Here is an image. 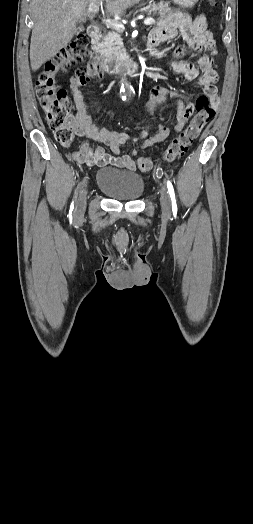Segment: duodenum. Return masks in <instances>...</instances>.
I'll list each match as a JSON object with an SVG mask.
<instances>
[{
    "instance_id": "obj_1",
    "label": "duodenum",
    "mask_w": 253,
    "mask_h": 524,
    "mask_svg": "<svg viewBox=\"0 0 253 524\" xmlns=\"http://www.w3.org/2000/svg\"><path fill=\"white\" fill-rule=\"evenodd\" d=\"M87 33L93 44H96L100 33L99 28L97 26H90L87 30ZM94 60L97 61L98 66L102 68L105 73L116 74L127 72L131 74H137L140 70L138 63L126 61L124 59L105 57L98 49H95Z\"/></svg>"
}]
</instances>
